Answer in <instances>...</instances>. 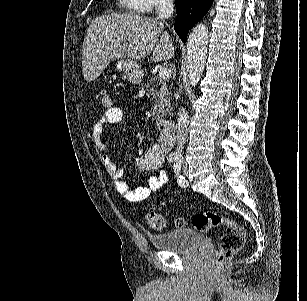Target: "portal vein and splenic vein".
I'll return each instance as SVG.
<instances>
[{"instance_id":"1","label":"portal vein and splenic vein","mask_w":307,"mask_h":301,"mask_svg":"<svg viewBox=\"0 0 307 301\" xmlns=\"http://www.w3.org/2000/svg\"><path fill=\"white\" fill-rule=\"evenodd\" d=\"M159 76L160 78H162V80H166V78H170L171 76L170 68H160Z\"/></svg>"}]
</instances>
